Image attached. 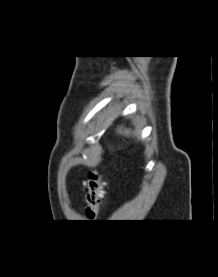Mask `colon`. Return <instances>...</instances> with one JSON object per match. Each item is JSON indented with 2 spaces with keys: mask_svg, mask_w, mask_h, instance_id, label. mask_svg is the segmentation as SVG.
<instances>
[{
  "mask_svg": "<svg viewBox=\"0 0 218 277\" xmlns=\"http://www.w3.org/2000/svg\"><path fill=\"white\" fill-rule=\"evenodd\" d=\"M105 191L106 180L103 174L97 170L90 171L85 182V215L88 219L98 217Z\"/></svg>",
  "mask_w": 218,
  "mask_h": 277,
  "instance_id": "5ec220e1",
  "label": "colon"
}]
</instances>
